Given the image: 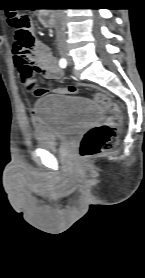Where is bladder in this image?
Wrapping results in <instances>:
<instances>
[{"label":"bladder","mask_w":145,"mask_h":278,"mask_svg":"<svg viewBox=\"0 0 145 278\" xmlns=\"http://www.w3.org/2000/svg\"><path fill=\"white\" fill-rule=\"evenodd\" d=\"M33 144L55 150L69 143L100 117L95 100L60 94L40 97L34 107Z\"/></svg>","instance_id":"obj_1"}]
</instances>
